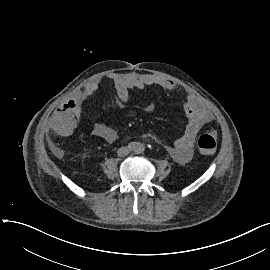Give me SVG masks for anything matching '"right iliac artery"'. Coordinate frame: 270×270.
I'll return each instance as SVG.
<instances>
[{"mask_svg":"<svg viewBox=\"0 0 270 270\" xmlns=\"http://www.w3.org/2000/svg\"><path fill=\"white\" fill-rule=\"evenodd\" d=\"M129 148H130V149H134V148H135V144H134V143H130V144H129Z\"/></svg>","mask_w":270,"mask_h":270,"instance_id":"obj_1","label":"right iliac artery"}]
</instances>
